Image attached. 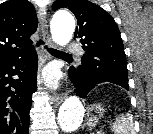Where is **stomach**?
<instances>
[{
  "mask_svg": "<svg viewBox=\"0 0 153 134\" xmlns=\"http://www.w3.org/2000/svg\"><path fill=\"white\" fill-rule=\"evenodd\" d=\"M105 110L101 104H94L87 109V126L94 127L104 117Z\"/></svg>",
  "mask_w": 153,
  "mask_h": 134,
  "instance_id": "1",
  "label": "stomach"
}]
</instances>
